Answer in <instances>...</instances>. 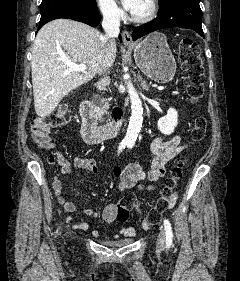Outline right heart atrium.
<instances>
[{"instance_id":"1","label":"right heart atrium","mask_w":240,"mask_h":281,"mask_svg":"<svg viewBox=\"0 0 240 281\" xmlns=\"http://www.w3.org/2000/svg\"><path fill=\"white\" fill-rule=\"evenodd\" d=\"M97 5L102 15L111 21H117L122 15V10L115 0H97Z\"/></svg>"}]
</instances>
